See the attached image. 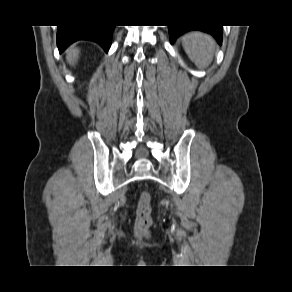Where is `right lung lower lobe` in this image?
Listing matches in <instances>:
<instances>
[{"mask_svg":"<svg viewBox=\"0 0 292 292\" xmlns=\"http://www.w3.org/2000/svg\"><path fill=\"white\" fill-rule=\"evenodd\" d=\"M113 30L114 26L110 25L58 26L57 45L61 53L78 40H90L98 43L107 52L111 45Z\"/></svg>","mask_w":292,"mask_h":292,"instance_id":"1","label":"right lung lower lobe"}]
</instances>
